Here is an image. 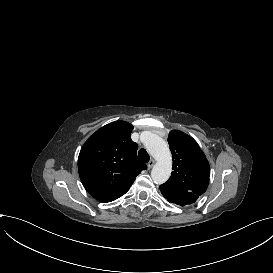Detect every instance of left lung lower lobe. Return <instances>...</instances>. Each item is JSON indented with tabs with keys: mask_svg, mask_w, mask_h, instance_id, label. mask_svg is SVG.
<instances>
[{
	"mask_svg": "<svg viewBox=\"0 0 273 273\" xmlns=\"http://www.w3.org/2000/svg\"><path fill=\"white\" fill-rule=\"evenodd\" d=\"M161 193L169 202L176 203L181 206H185L187 204H192L199 197V196H197L193 193H190V192L184 193V194H176V195H170V194H167L163 191H161Z\"/></svg>",
	"mask_w": 273,
	"mask_h": 273,
	"instance_id": "left-lung-lower-lobe-1",
	"label": "left lung lower lobe"
}]
</instances>
